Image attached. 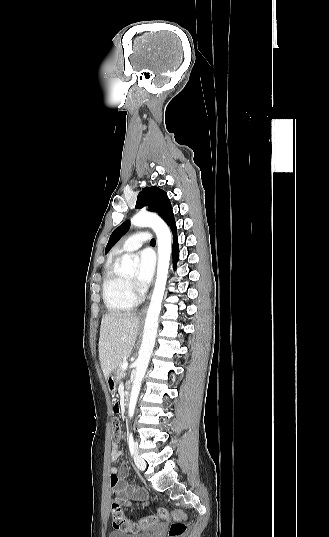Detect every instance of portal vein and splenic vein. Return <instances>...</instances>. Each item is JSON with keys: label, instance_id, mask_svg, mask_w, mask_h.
I'll list each match as a JSON object with an SVG mask.
<instances>
[{"label": "portal vein and splenic vein", "instance_id": "1", "mask_svg": "<svg viewBox=\"0 0 329 537\" xmlns=\"http://www.w3.org/2000/svg\"><path fill=\"white\" fill-rule=\"evenodd\" d=\"M127 367H128V363H123V364H122V369H123V370H126Z\"/></svg>", "mask_w": 329, "mask_h": 537}]
</instances>
